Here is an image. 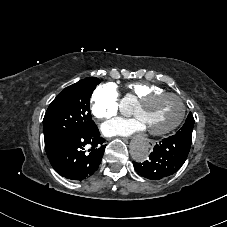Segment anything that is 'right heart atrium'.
Returning <instances> with one entry per match:
<instances>
[{
  "label": "right heart atrium",
  "mask_w": 227,
  "mask_h": 227,
  "mask_svg": "<svg viewBox=\"0 0 227 227\" xmlns=\"http://www.w3.org/2000/svg\"><path fill=\"white\" fill-rule=\"evenodd\" d=\"M92 114L100 120H111L118 112L119 92L112 83L100 84L91 97Z\"/></svg>",
  "instance_id": "right-heart-atrium-1"
}]
</instances>
